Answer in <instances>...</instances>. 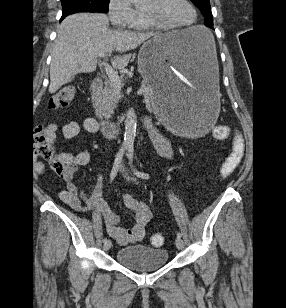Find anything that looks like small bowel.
<instances>
[{"label": "small bowel", "mask_w": 286, "mask_h": 308, "mask_svg": "<svg viewBox=\"0 0 286 308\" xmlns=\"http://www.w3.org/2000/svg\"><path fill=\"white\" fill-rule=\"evenodd\" d=\"M81 131L91 134L97 133L99 131V124L94 118L87 117L82 122L70 121L64 124L61 129L62 136L65 139H72ZM47 132L52 140L56 138V126L54 124L49 126ZM234 140H241V138L236 135ZM154 144L163 158L168 160L174 159L173 149L167 140L164 138H155ZM60 159L66 166V173L64 175L66 188L59 193L61 201L75 211L89 212L96 210L101 213L108 234L120 245L139 242L144 235L145 226L152 217L148 205L137 200L132 195H125L123 202L133 214V225L128 229L121 227L120 217L111 211L100 198L104 180L102 174L97 176L95 183L89 188L87 194L83 193L75 183V174L80 167L89 163L90 152L87 149L78 153L63 152L60 154ZM35 167L39 174L45 172V167L41 162H37Z\"/></svg>", "instance_id": "small-bowel-1"}]
</instances>
